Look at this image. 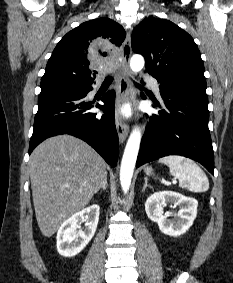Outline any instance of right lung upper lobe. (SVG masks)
Masks as SVG:
<instances>
[{
  "instance_id": "right-lung-upper-lobe-1",
  "label": "right lung upper lobe",
  "mask_w": 233,
  "mask_h": 283,
  "mask_svg": "<svg viewBox=\"0 0 233 283\" xmlns=\"http://www.w3.org/2000/svg\"><path fill=\"white\" fill-rule=\"evenodd\" d=\"M125 36L122 26L109 18L82 23L59 41L41 82L62 80L90 86L95 70H105V65H111V60L106 59L112 58Z\"/></svg>"
}]
</instances>
